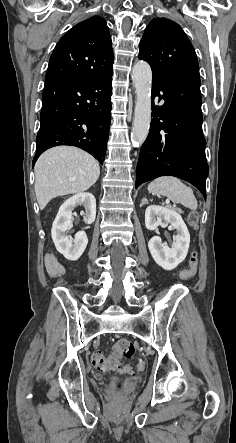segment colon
Listing matches in <instances>:
<instances>
[{
  "label": "colon",
  "mask_w": 236,
  "mask_h": 443,
  "mask_svg": "<svg viewBox=\"0 0 236 443\" xmlns=\"http://www.w3.org/2000/svg\"><path fill=\"white\" fill-rule=\"evenodd\" d=\"M188 221L192 227H196L198 221L197 212L193 211L189 214ZM198 257L196 253H193L189 267L180 273V278L187 280L192 278L197 271ZM135 353V347L133 343L125 338H121L115 341L112 347L111 354L106 356L101 351H96L91 356V362L94 368L100 371H113V370H129V367L125 364V361L131 359ZM146 368L144 362L139 361L137 364V371L142 372ZM122 388L121 383H117L115 391L118 392Z\"/></svg>",
  "instance_id": "1"
}]
</instances>
